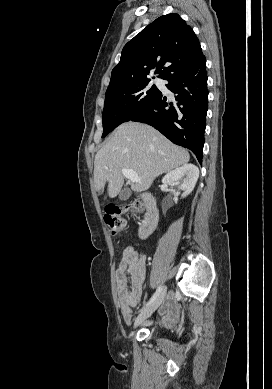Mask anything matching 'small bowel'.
I'll use <instances>...</instances> for the list:
<instances>
[{
	"label": "small bowel",
	"mask_w": 272,
	"mask_h": 389,
	"mask_svg": "<svg viewBox=\"0 0 272 389\" xmlns=\"http://www.w3.org/2000/svg\"><path fill=\"white\" fill-rule=\"evenodd\" d=\"M146 276L145 260L138 255L133 247H127L116 270V289L120 303L121 314L126 324H130L132 308L136 307L142 295V286ZM131 286L128 288V281ZM172 307V301L166 303V308Z\"/></svg>",
	"instance_id": "obj_1"
}]
</instances>
